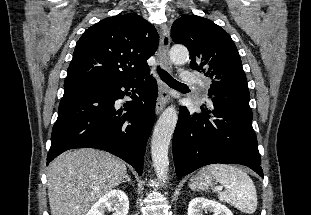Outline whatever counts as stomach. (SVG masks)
<instances>
[{
	"mask_svg": "<svg viewBox=\"0 0 311 215\" xmlns=\"http://www.w3.org/2000/svg\"><path fill=\"white\" fill-rule=\"evenodd\" d=\"M212 186L213 180L206 177L204 170L193 176L189 182V187L195 191H207Z\"/></svg>",
	"mask_w": 311,
	"mask_h": 215,
	"instance_id": "1",
	"label": "stomach"
}]
</instances>
